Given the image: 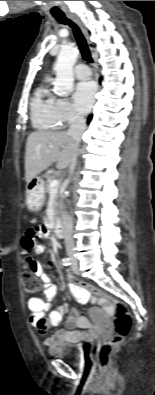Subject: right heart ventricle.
I'll list each match as a JSON object with an SVG mask.
<instances>
[{"label": "right heart ventricle", "mask_w": 155, "mask_h": 395, "mask_svg": "<svg viewBox=\"0 0 155 395\" xmlns=\"http://www.w3.org/2000/svg\"><path fill=\"white\" fill-rule=\"evenodd\" d=\"M48 82L49 79L45 78L37 86L30 104L32 124L40 130H55L60 127L55 115L56 98Z\"/></svg>", "instance_id": "right-heart-ventricle-1"}]
</instances>
